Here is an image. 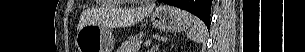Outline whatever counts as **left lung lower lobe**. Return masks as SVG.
I'll use <instances>...</instances> for the list:
<instances>
[{"mask_svg":"<svg viewBox=\"0 0 305 52\" xmlns=\"http://www.w3.org/2000/svg\"><path fill=\"white\" fill-rule=\"evenodd\" d=\"M176 7L185 9L199 17L209 28L212 0H159Z\"/></svg>","mask_w":305,"mask_h":52,"instance_id":"0a47b994","label":"left lung lower lobe"}]
</instances>
